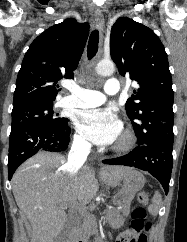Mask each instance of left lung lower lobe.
<instances>
[{"label": "left lung lower lobe", "mask_w": 187, "mask_h": 242, "mask_svg": "<svg viewBox=\"0 0 187 242\" xmlns=\"http://www.w3.org/2000/svg\"><path fill=\"white\" fill-rule=\"evenodd\" d=\"M173 139L157 140L146 145H138L122 157L103 160L104 164L133 166L159 180L168 193L173 166Z\"/></svg>", "instance_id": "left-lung-lower-lobe-1"}]
</instances>
